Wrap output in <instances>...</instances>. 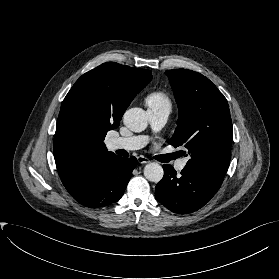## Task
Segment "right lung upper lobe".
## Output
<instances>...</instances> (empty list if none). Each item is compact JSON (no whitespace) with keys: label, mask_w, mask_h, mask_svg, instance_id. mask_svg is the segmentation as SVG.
<instances>
[{"label":"right lung upper lobe","mask_w":279,"mask_h":279,"mask_svg":"<svg viewBox=\"0 0 279 279\" xmlns=\"http://www.w3.org/2000/svg\"><path fill=\"white\" fill-rule=\"evenodd\" d=\"M151 71L104 63L83 74L66 95L57 120L54 158L61 179L82 164L114 156L104 139L117 128Z\"/></svg>","instance_id":"cb5924a9"}]
</instances>
